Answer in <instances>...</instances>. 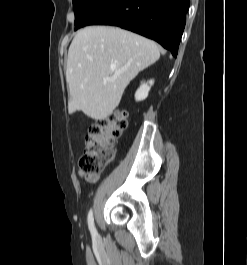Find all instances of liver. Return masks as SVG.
Here are the masks:
<instances>
[{
	"label": "liver",
	"instance_id": "liver-1",
	"mask_svg": "<svg viewBox=\"0 0 247 265\" xmlns=\"http://www.w3.org/2000/svg\"><path fill=\"white\" fill-rule=\"evenodd\" d=\"M159 57L157 44L135 33L109 26L79 30L68 51L70 111L105 119L130 81Z\"/></svg>",
	"mask_w": 247,
	"mask_h": 265
}]
</instances>
